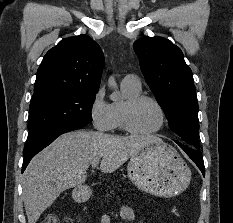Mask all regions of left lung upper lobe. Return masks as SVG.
Segmentation results:
<instances>
[{
  "mask_svg": "<svg viewBox=\"0 0 233 223\" xmlns=\"http://www.w3.org/2000/svg\"><path fill=\"white\" fill-rule=\"evenodd\" d=\"M133 48L170 129L187 144L199 148L196 89L182 51L162 37L140 38L134 42Z\"/></svg>",
  "mask_w": 233,
  "mask_h": 223,
  "instance_id": "obj_1",
  "label": "left lung upper lobe"
}]
</instances>
